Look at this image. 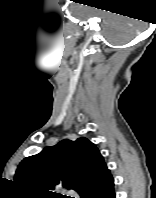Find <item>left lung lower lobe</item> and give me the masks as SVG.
I'll return each instance as SVG.
<instances>
[{"label": "left lung lower lobe", "mask_w": 156, "mask_h": 198, "mask_svg": "<svg viewBox=\"0 0 156 198\" xmlns=\"http://www.w3.org/2000/svg\"><path fill=\"white\" fill-rule=\"evenodd\" d=\"M81 198H116L114 191V179L108 170L104 175L91 187L82 191Z\"/></svg>", "instance_id": "left-lung-lower-lobe-1"}]
</instances>
